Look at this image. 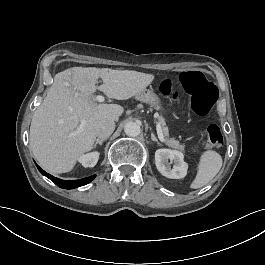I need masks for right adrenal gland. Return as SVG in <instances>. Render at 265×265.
Wrapping results in <instances>:
<instances>
[{
  "label": "right adrenal gland",
  "instance_id": "2a0ac1e0",
  "mask_svg": "<svg viewBox=\"0 0 265 265\" xmlns=\"http://www.w3.org/2000/svg\"><path fill=\"white\" fill-rule=\"evenodd\" d=\"M107 140L106 138H103V139H97L96 142L94 143V148H96V146L99 144V145H102L103 142Z\"/></svg>",
  "mask_w": 265,
  "mask_h": 265
}]
</instances>
